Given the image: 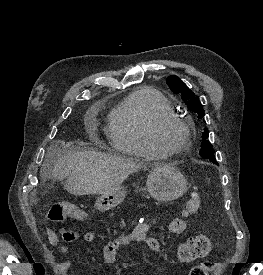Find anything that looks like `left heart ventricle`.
I'll return each instance as SVG.
<instances>
[{
  "label": "left heart ventricle",
  "mask_w": 263,
  "mask_h": 275,
  "mask_svg": "<svg viewBox=\"0 0 263 275\" xmlns=\"http://www.w3.org/2000/svg\"><path fill=\"white\" fill-rule=\"evenodd\" d=\"M158 136L164 145L176 146L182 141L184 131L176 124H168L159 131Z\"/></svg>",
  "instance_id": "obj_1"
}]
</instances>
